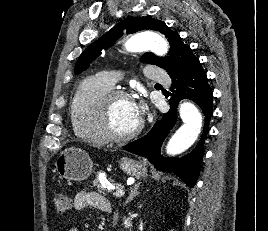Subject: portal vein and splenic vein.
Returning <instances> with one entry per match:
<instances>
[{"label": "portal vein and splenic vein", "instance_id": "obj_1", "mask_svg": "<svg viewBox=\"0 0 268 231\" xmlns=\"http://www.w3.org/2000/svg\"><path fill=\"white\" fill-rule=\"evenodd\" d=\"M109 189L113 188L112 186L108 187ZM125 194L124 190L117 188L116 191L114 192V196L117 198L122 197Z\"/></svg>", "mask_w": 268, "mask_h": 231}]
</instances>
